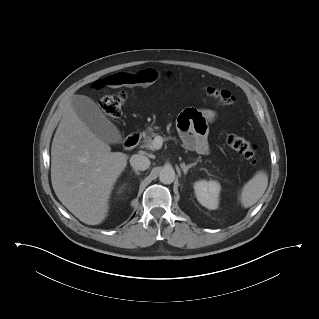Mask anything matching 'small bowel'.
<instances>
[{
  "label": "small bowel",
  "mask_w": 319,
  "mask_h": 319,
  "mask_svg": "<svg viewBox=\"0 0 319 319\" xmlns=\"http://www.w3.org/2000/svg\"><path fill=\"white\" fill-rule=\"evenodd\" d=\"M118 76L126 77L127 82L120 83ZM158 75L154 69H144L137 74H117L106 80L105 83L98 82L95 88L106 86H117L126 84L128 86L149 87L155 83ZM217 119V113L212 109L197 110L185 109L178 119V129L184 145L201 155L209 153L207 140L208 125Z\"/></svg>",
  "instance_id": "obj_1"
}]
</instances>
